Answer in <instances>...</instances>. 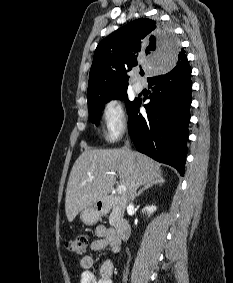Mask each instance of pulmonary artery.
Returning <instances> with one entry per match:
<instances>
[{
	"instance_id": "1",
	"label": "pulmonary artery",
	"mask_w": 233,
	"mask_h": 283,
	"mask_svg": "<svg viewBox=\"0 0 233 283\" xmlns=\"http://www.w3.org/2000/svg\"><path fill=\"white\" fill-rule=\"evenodd\" d=\"M133 90L136 92V93H140L142 92L143 90V86L140 84V83H135L133 85Z\"/></svg>"
}]
</instances>
